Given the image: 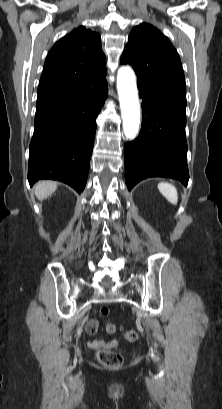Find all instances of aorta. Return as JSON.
<instances>
[{
  "instance_id": "aorta-1",
  "label": "aorta",
  "mask_w": 222,
  "mask_h": 409,
  "mask_svg": "<svg viewBox=\"0 0 222 409\" xmlns=\"http://www.w3.org/2000/svg\"><path fill=\"white\" fill-rule=\"evenodd\" d=\"M117 90L123 119V132L133 140L139 133L140 105L136 77L130 67H121L117 73Z\"/></svg>"
}]
</instances>
